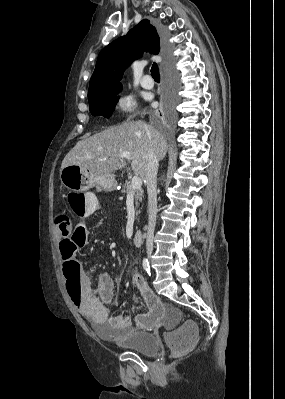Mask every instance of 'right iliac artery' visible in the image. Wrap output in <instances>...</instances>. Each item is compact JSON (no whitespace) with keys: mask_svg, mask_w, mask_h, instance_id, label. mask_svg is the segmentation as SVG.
Returning a JSON list of instances; mask_svg holds the SVG:
<instances>
[{"mask_svg":"<svg viewBox=\"0 0 285 399\" xmlns=\"http://www.w3.org/2000/svg\"><path fill=\"white\" fill-rule=\"evenodd\" d=\"M142 265H143L144 270H145L147 273H150V265H149V261H148L147 258H144V259H143Z\"/></svg>","mask_w":285,"mask_h":399,"instance_id":"82829eb1","label":"right iliac artery"}]
</instances>
